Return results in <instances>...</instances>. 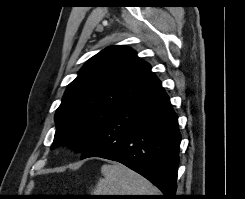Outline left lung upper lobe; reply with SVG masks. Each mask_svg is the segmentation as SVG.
Segmentation results:
<instances>
[{
  "instance_id": "left-lung-upper-lobe-1",
  "label": "left lung upper lobe",
  "mask_w": 245,
  "mask_h": 199,
  "mask_svg": "<svg viewBox=\"0 0 245 199\" xmlns=\"http://www.w3.org/2000/svg\"><path fill=\"white\" fill-rule=\"evenodd\" d=\"M78 74L56 111L51 149L70 144L78 152L87 150L102 126L156 78L150 65L126 46L102 50Z\"/></svg>"
}]
</instances>
